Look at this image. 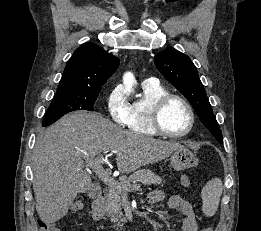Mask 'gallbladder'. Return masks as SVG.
Returning <instances> with one entry per match:
<instances>
[{"label":"gallbladder","mask_w":261,"mask_h":231,"mask_svg":"<svg viewBox=\"0 0 261 231\" xmlns=\"http://www.w3.org/2000/svg\"><path fill=\"white\" fill-rule=\"evenodd\" d=\"M97 192H98V190H97L96 186H93L92 190L89 191L88 194L94 197V196H96Z\"/></svg>","instance_id":"1"}]
</instances>
